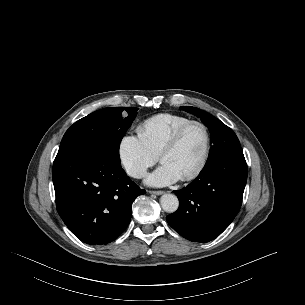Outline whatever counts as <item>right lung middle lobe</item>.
I'll return each instance as SVG.
<instances>
[{
    "label": "right lung middle lobe",
    "mask_w": 305,
    "mask_h": 305,
    "mask_svg": "<svg viewBox=\"0 0 305 305\" xmlns=\"http://www.w3.org/2000/svg\"><path fill=\"white\" fill-rule=\"evenodd\" d=\"M135 107H110L75 122L64 134L55 159L96 153L120 164L119 145L137 114Z\"/></svg>",
    "instance_id": "1"
}]
</instances>
